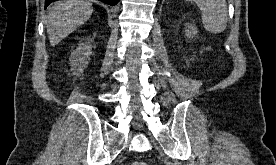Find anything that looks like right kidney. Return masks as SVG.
I'll list each match as a JSON object with an SVG mask.
<instances>
[{
	"label": "right kidney",
	"mask_w": 276,
	"mask_h": 165,
	"mask_svg": "<svg viewBox=\"0 0 276 165\" xmlns=\"http://www.w3.org/2000/svg\"><path fill=\"white\" fill-rule=\"evenodd\" d=\"M91 48L90 39H87L85 43H80L76 50L71 53L70 66L73 74L79 76L83 73L90 60Z\"/></svg>",
	"instance_id": "1"
}]
</instances>
